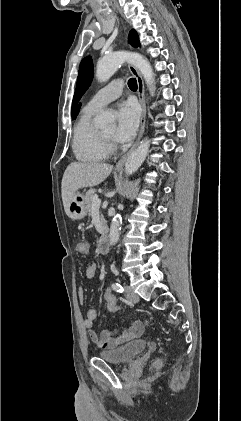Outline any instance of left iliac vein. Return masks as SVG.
Here are the masks:
<instances>
[{
    "label": "left iliac vein",
    "instance_id": "obj_1",
    "mask_svg": "<svg viewBox=\"0 0 241 421\" xmlns=\"http://www.w3.org/2000/svg\"><path fill=\"white\" fill-rule=\"evenodd\" d=\"M125 297L133 303H137L139 301V296L130 286H125Z\"/></svg>",
    "mask_w": 241,
    "mask_h": 421
}]
</instances>
